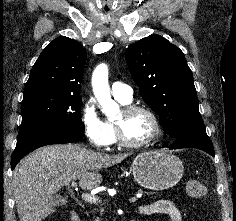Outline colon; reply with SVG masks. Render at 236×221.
Returning <instances> with one entry per match:
<instances>
[{
  "label": "colon",
  "mask_w": 236,
  "mask_h": 221,
  "mask_svg": "<svg viewBox=\"0 0 236 221\" xmlns=\"http://www.w3.org/2000/svg\"><path fill=\"white\" fill-rule=\"evenodd\" d=\"M186 190L189 197L194 199H201L206 195V188L200 181H189Z\"/></svg>",
  "instance_id": "obj_1"
}]
</instances>
